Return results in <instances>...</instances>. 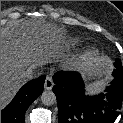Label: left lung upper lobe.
Wrapping results in <instances>:
<instances>
[{"label":"left lung upper lobe","mask_w":123,"mask_h":123,"mask_svg":"<svg viewBox=\"0 0 123 123\" xmlns=\"http://www.w3.org/2000/svg\"><path fill=\"white\" fill-rule=\"evenodd\" d=\"M114 66H115V70L113 71L112 75L114 77L123 79V68H122L121 60H116Z\"/></svg>","instance_id":"1"}]
</instances>
